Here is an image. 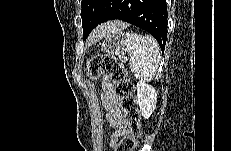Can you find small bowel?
<instances>
[{
    "mask_svg": "<svg viewBox=\"0 0 231 151\" xmlns=\"http://www.w3.org/2000/svg\"><path fill=\"white\" fill-rule=\"evenodd\" d=\"M101 97L106 109V119L113 129L110 144L115 146L117 141L126 133L127 124L121 112L119 99L113 93V85L108 76L102 80Z\"/></svg>",
    "mask_w": 231,
    "mask_h": 151,
    "instance_id": "c3829d8e",
    "label": "small bowel"
}]
</instances>
